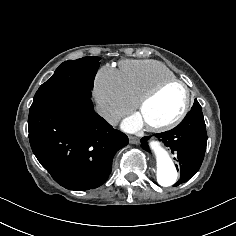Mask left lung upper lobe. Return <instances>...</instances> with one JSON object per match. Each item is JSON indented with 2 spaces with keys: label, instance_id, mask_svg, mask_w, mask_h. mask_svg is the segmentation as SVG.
I'll use <instances>...</instances> for the list:
<instances>
[{
  "label": "left lung upper lobe",
  "instance_id": "1",
  "mask_svg": "<svg viewBox=\"0 0 236 236\" xmlns=\"http://www.w3.org/2000/svg\"><path fill=\"white\" fill-rule=\"evenodd\" d=\"M199 105H200V104L198 103V101L195 100L194 105L192 106L191 110L198 109V108H199Z\"/></svg>",
  "mask_w": 236,
  "mask_h": 236
}]
</instances>
